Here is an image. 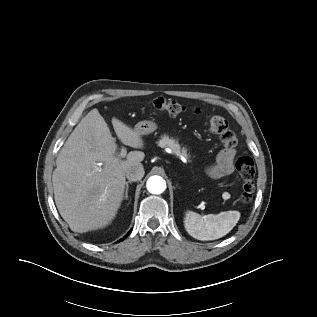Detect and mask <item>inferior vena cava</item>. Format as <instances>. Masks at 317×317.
I'll list each match as a JSON object with an SVG mask.
<instances>
[{
	"label": "inferior vena cava",
	"instance_id": "inferior-vena-cava-1",
	"mask_svg": "<svg viewBox=\"0 0 317 317\" xmlns=\"http://www.w3.org/2000/svg\"><path fill=\"white\" fill-rule=\"evenodd\" d=\"M144 168L142 165H135L126 172V177L130 181H139L144 176Z\"/></svg>",
	"mask_w": 317,
	"mask_h": 317
}]
</instances>
